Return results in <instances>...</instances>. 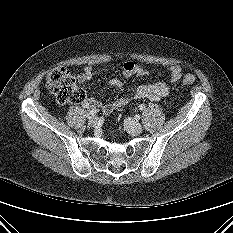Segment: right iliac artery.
<instances>
[{
	"mask_svg": "<svg viewBox=\"0 0 233 233\" xmlns=\"http://www.w3.org/2000/svg\"><path fill=\"white\" fill-rule=\"evenodd\" d=\"M97 112H98V109H92V110H90V111L87 113L86 117H87L88 119H90V118H92L94 115H96Z\"/></svg>",
	"mask_w": 233,
	"mask_h": 233,
	"instance_id": "1",
	"label": "right iliac artery"
}]
</instances>
